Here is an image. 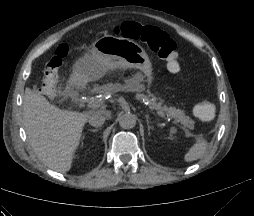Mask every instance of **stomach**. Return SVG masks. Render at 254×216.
<instances>
[{"mask_svg": "<svg viewBox=\"0 0 254 216\" xmlns=\"http://www.w3.org/2000/svg\"><path fill=\"white\" fill-rule=\"evenodd\" d=\"M106 63L118 64V69H134L135 75L127 82L140 83L146 78L151 84L154 79L151 60L142 46L129 39L104 36L73 69V80L81 82L97 78L102 75Z\"/></svg>", "mask_w": 254, "mask_h": 216, "instance_id": "0dacf381", "label": "stomach"}]
</instances>
